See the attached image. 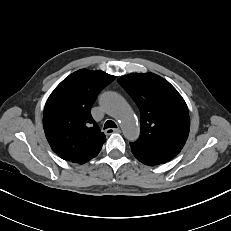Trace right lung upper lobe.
<instances>
[{
    "mask_svg": "<svg viewBox=\"0 0 231 231\" xmlns=\"http://www.w3.org/2000/svg\"><path fill=\"white\" fill-rule=\"evenodd\" d=\"M115 79L103 71L78 70L49 96L43 127L52 150L66 161L84 164L97 156L106 141L90 114L99 92Z\"/></svg>",
    "mask_w": 231,
    "mask_h": 231,
    "instance_id": "cb5924a9",
    "label": "right lung upper lobe"
}]
</instances>
